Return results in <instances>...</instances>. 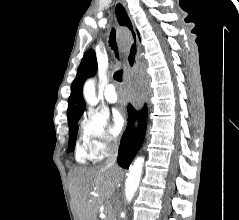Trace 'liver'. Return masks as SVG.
I'll use <instances>...</instances> for the list:
<instances>
[{"mask_svg": "<svg viewBox=\"0 0 239 220\" xmlns=\"http://www.w3.org/2000/svg\"><path fill=\"white\" fill-rule=\"evenodd\" d=\"M122 179L123 171L116 166L74 169L69 185L78 220H98L100 205L114 195Z\"/></svg>", "mask_w": 239, "mask_h": 220, "instance_id": "obj_1", "label": "liver"}]
</instances>
